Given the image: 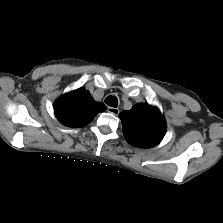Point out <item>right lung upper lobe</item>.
I'll use <instances>...</instances> for the list:
<instances>
[{"instance_id":"1","label":"right lung upper lobe","mask_w":223,"mask_h":223,"mask_svg":"<svg viewBox=\"0 0 223 223\" xmlns=\"http://www.w3.org/2000/svg\"><path fill=\"white\" fill-rule=\"evenodd\" d=\"M54 111L64 125L83 127L98 113L105 111V106L96 103L84 88H79L58 98L54 103Z\"/></svg>"}]
</instances>
